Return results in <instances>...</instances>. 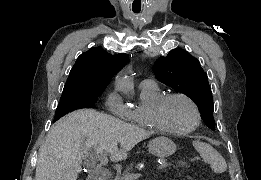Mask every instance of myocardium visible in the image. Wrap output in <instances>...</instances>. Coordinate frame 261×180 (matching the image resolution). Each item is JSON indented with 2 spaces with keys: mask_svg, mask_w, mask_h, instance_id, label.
I'll return each instance as SVG.
<instances>
[{
  "mask_svg": "<svg viewBox=\"0 0 261 180\" xmlns=\"http://www.w3.org/2000/svg\"><path fill=\"white\" fill-rule=\"evenodd\" d=\"M172 99H182L187 102L194 111L193 124L182 132H169L166 131L159 121L152 117L162 106H165ZM202 120L201 110L196 101L189 95L181 92H172L162 95L156 103L149 108L142 110L139 113L138 122L140 126L149 134V136H162L167 138H184L192 134L200 125Z\"/></svg>",
  "mask_w": 261,
  "mask_h": 180,
  "instance_id": "1",
  "label": "myocardium"
}]
</instances>
